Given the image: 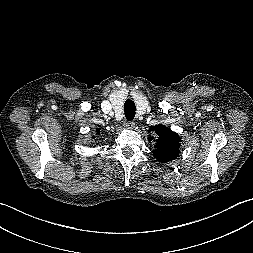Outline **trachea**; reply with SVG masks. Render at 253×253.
I'll return each mask as SVG.
<instances>
[{
    "label": "trachea",
    "mask_w": 253,
    "mask_h": 253,
    "mask_svg": "<svg viewBox=\"0 0 253 253\" xmlns=\"http://www.w3.org/2000/svg\"><path fill=\"white\" fill-rule=\"evenodd\" d=\"M135 110H136L135 103L130 99L126 100L124 104V113L128 121L134 119L136 113Z\"/></svg>",
    "instance_id": "trachea-1"
}]
</instances>
